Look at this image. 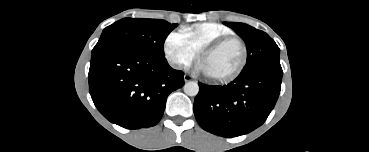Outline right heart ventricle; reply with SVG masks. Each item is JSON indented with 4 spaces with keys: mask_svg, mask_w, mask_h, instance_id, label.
I'll list each match as a JSON object with an SVG mask.
<instances>
[{
    "mask_svg": "<svg viewBox=\"0 0 369 152\" xmlns=\"http://www.w3.org/2000/svg\"><path fill=\"white\" fill-rule=\"evenodd\" d=\"M181 32L197 53L214 40L233 34L230 28L215 22L195 23L183 27Z\"/></svg>",
    "mask_w": 369,
    "mask_h": 152,
    "instance_id": "1",
    "label": "right heart ventricle"
}]
</instances>
